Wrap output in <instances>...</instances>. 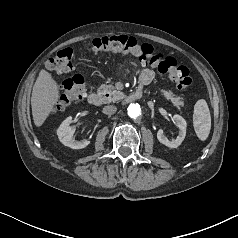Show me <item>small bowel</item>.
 Instances as JSON below:
<instances>
[{
  "mask_svg": "<svg viewBox=\"0 0 238 238\" xmlns=\"http://www.w3.org/2000/svg\"><path fill=\"white\" fill-rule=\"evenodd\" d=\"M137 57V55H134ZM155 79V72L152 68H145L142 70L139 76L140 86L149 85Z\"/></svg>",
  "mask_w": 238,
  "mask_h": 238,
  "instance_id": "c3829d8e",
  "label": "small bowel"
}]
</instances>
